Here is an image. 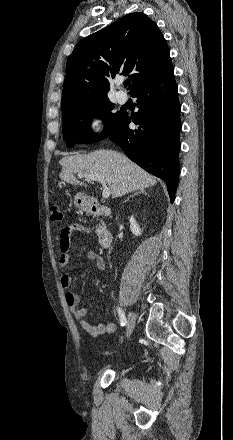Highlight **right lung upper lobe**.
<instances>
[{"instance_id":"1","label":"right lung upper lobe","mask_w":233,"mask_h":440,"mask_svg":"<svg viewBox=\"0 0 233 440\" xmlns=\"http://www.w3.org/2000/svg\"><path fill=\"white\" fill-rule=\"evenodd\" d=\"M172 65L158 26L143 13H131L82 39L66 64L61 106L107 97L109 79L132 80L130 94Z\"/></svg>"}]
</instances>
